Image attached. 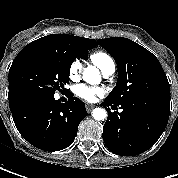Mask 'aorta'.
Wrapping results in <instances>:
<instances>
[{"label": "aorta", "mask_w": 178, "mask_h": 178, "mask_svg": "<svg viewBox=\"0 0 178 178\" xmlns=\"http://www.w3.org/2000/svg\"><path fill=\"white\" fill-rule=\"evenodd\" d=\"M83 80L90 84H97L100 82L101 77L97 68L88 66L83 71ZM92 116L95 120L103 121L107 118V112L103 108H95L92 111Z\"/></svg>", "instance_id": "obj_1"}]
</instances>
